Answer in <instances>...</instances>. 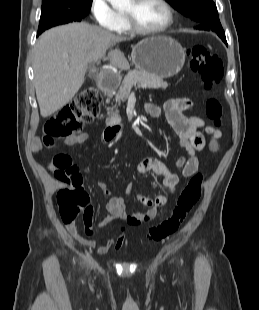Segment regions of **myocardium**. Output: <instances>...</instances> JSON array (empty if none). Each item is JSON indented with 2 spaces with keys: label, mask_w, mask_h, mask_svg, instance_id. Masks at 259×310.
<instances>
[{
  "label": "myocardium",
  "mask_w": 259,
  "mask_h": 310,
  "mask_svg": "<svg viewBox=\"0 0 259 310\" xmlns=\"http://www.w3.org/2000/svg\"><path fill=\"white\" fill-rule=\"evenodd\" d=\"M134 1L136 3H140L142 0H134ZM158 1L163 5V7L167 12V20L162 26L153 29L142 27L136 22L134 16L131 13L124 12V17L126 19L129 29L132 30L133 32L143 35H158L169 30L175 22V11L172 5L167 0H158Z\"/></svg>",
  "instance_id": "1"
}]
</instances>
